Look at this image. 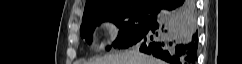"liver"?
Instances as JSON below:
<instances>
[{
    "instance_id": "6515ba94",
    "label": "liver",
    "mask_w": 242,
    "mask_h": 64,
    "mask_svg": "<svg viewBox=\"0 0 242 64\" xmlns=\"http://www.w3.org/2000/svg\"><path fill=\"white\" fill-rule=\"evenodd\" d=\"M195 18L188 21V26L195 29ZM84 64H164L163 61L152 56L129 50L123 53L91 59Z\"/></svg>"
}]
</instances>
